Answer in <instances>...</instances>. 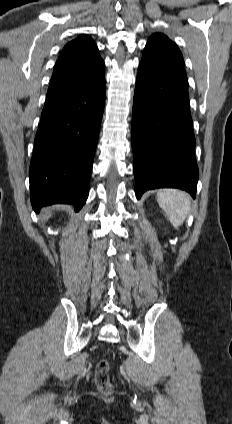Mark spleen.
Instances as JSON below:
<instances>
[{
  "label": "spleen",
  "mask_w": 232,
  "mask_h": 424,
  "mask_svg": "<svg viewBox=\"0 0 232 424\" xmlns=\"http://www.w3.org/2000/svg\"><path fill=\"white\" fill-rule=\"evenodd\" d=\"M157 201L175 228L183 224L191 205L190 196L186 192L178 189H161L157 193Z\"/></svg>",
  "instance_id": "spleen-1"
}]
</instances>
